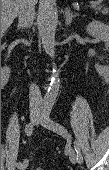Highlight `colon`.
I'll return each mask as SVG.
<instances>
[{
  "mask_svg": "<svg viewBox=\"0 0 109 170\" xmlns=\"http://www.w3.org/2000/svg\"><path fill=\"white\" fill-rule=\"evenodd\" d=\"M34 170H45V169L42 167H35Z\"/></svg>",
  "mask_w": 109,
  "mask_h": 170,
  "instance_id": "obj_1",
  "label": "colon"
}]
</instances>
